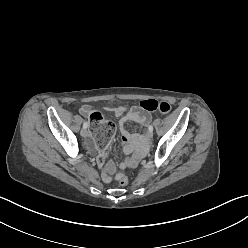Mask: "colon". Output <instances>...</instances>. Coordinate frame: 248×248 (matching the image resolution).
Wrapping results in <instances>:
<instances>
[{"mask_svg": "<svg viewBox=\"0 0 248 248\" xmlns=\"http://www.w3.org/2000/svg\"><path fill=\"white\" fill-rule=\"evenodd\" d=\"M139 107L146 112H160L168 114L171 112V105L164 101L155 99L143 100L140 102ZM89 128L93 131L94 144L96 148L103 150L107 148L109 139L115 133V124L108 121L100 112H93L89 119ZM108 160V155L105 152H100L97 155V161L94 163V168L97 171H102L105 168V162ZM117 182L120 186L125 187L128 185V177L124 174L117 176Z\"/></svg>", "mask_w": 248, "mask_h": 248, "instance_id": "obj_1", "label": "colon"}]
</instances>
